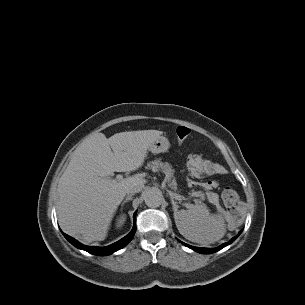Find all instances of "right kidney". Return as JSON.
<instances>
[{
  "instance_id": "obj_1",
  "label": "right kidney",
  "mask_w": 305,
  "mask_h": 305,
  "mask_svg": "<svg viewBox=\"0 0 305 305\" xmlns=\"http://www.w3.org/2000/svg\"><path fill=\"white\" fill-rule=\"evenodd\" d=\"M125 216H120L118 219H117V223H116V226L117 228H121L123 226V224L125 223Z\"/></svg>"
}]
</instances>
